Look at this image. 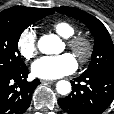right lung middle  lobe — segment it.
Here are the masks:
<instances>
[{
    "mask_svg": "<svg viewBox=\"0 0 114 114\" xmlns=\"http://www.w3.org/2000/svg\"><path fill=\"white\" fill-rule=\"evenodd\" d=\"M43 17L0 19V74H11L26 66L18 50V40L28 26Z\"/></svg>",
    "mask_w": 114,
    "mask_h": 114,
    "instance_id": "dd1d6c3e",
    "label": "right lung middle lobe"
}]
</instances>
